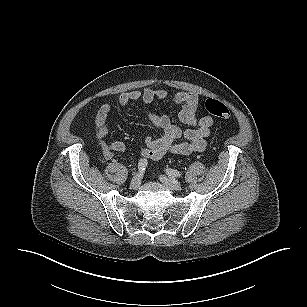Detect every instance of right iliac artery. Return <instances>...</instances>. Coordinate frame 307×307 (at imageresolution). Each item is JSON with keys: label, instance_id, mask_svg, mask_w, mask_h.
<instances>
[{"label": "right iliac artery", "instance_id": "82829eb1", "mask_svg": "<svg viewBox=\"0 0 307 307\" xmlns=\"http://www.w3.org/2000/svg\"><path fill=\"white\" fill-rule=\"evenodd\" d=\"M147 160L146 159H140L139 162H138V170L139 172H143L146 167H147Z\"/></svg>", "mask_w": 307, "mask_h": 307}]
</instances>
